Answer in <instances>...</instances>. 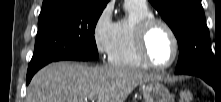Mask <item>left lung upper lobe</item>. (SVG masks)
<instances>
[{
	"label": "left lung upper lobe",
	"mask_w": 221,
	"mask_h": 102,
	"mask_svg": "<svg viewBox=\"0 0 221 102\" xmlns=\"http://www.w3.org/2000/svg\"><path fill=\"white\" fill-rule=\"evenodd\" d=\"M178 40L175 73L201 72L216 76L221 61L214 57L201 0H149Z\"/></svg>",
	"instance_id": "left-lung-upper-lobe-1"
}]
</instances>
